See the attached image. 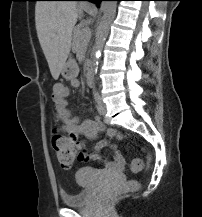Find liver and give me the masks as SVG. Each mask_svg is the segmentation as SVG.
I'll return each mask as SVG.
<instances>
[{"label":"liver","mask_w":202,"mask_h":217,"mask_svg":"<svg viewBox=\"0 0 202 217\" xmlns=\"http://www.w3.org/2000/svg\"><path fill=\"white\" fill-rule=\"evenodd\" d=\"M88 4L39 1L35 6L37 36L52 77L58 79L70 53L72 32Z\"/></svg>","instance_id":"1"}]
</instances>
